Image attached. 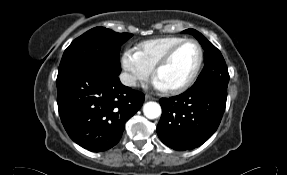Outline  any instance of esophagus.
I'll return each instance as SVG.
<instances>
[{"mask_svg": "<svg viewBox=\"0 0 287 175\" xmlns=\"http://www.w3.org/2000/svg\"><path fill=\"white\" fill-rule=\"evenodd\" d=\"M152 99H153L152 96H150V95H145V100H152Z\"/></svg>", "mask_w": 287, "mask_h": 175, "instance_id": "34e87169", "label": "esophagus"}]
</instances>
